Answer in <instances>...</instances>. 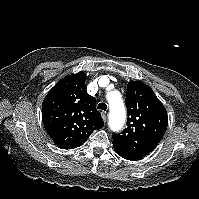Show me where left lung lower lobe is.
I'll return each instance as SVG.
<instances>
[{"label":"left lung lower lobe","mask_w":199,"mask_h":199,"mask_svg":"<svg viewBox=\"0 0 199 199\" xmlns=\"http://www.w3.org/2000/svg\"><path fill=\"white\" fill-rule=\"evenodd\" d=\"M113 147H114L115 152H116L119 156H121V157H123V158H125V159H127V160L136 161V160H139V159H140V158H138V157H136V156H134V155H132V154L127 153L126 151H123L122 149H120V148H118V147H116V146H113Z\"/></svg>","instance_id":"1"}]
</instances>
